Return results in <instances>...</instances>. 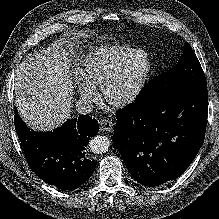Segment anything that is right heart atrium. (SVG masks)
<instances>
[{
    "mask_svg": "<svg viewBox=\"0 0 219 219\" xmlns=\"http://www.w3.org/2000/svg\"><path fill=\"white\" fill-rule=\"evenodd\" d=\"M79 97L86 102H93L96 98V91L94 88L84 84L82 81L77 85Z\"/></svg>",
    "mask_w": 219,
    "mask_h": 219,
    "instance_id": "obj_1",
    "label": "right heart atrium"
}]
</instances>
